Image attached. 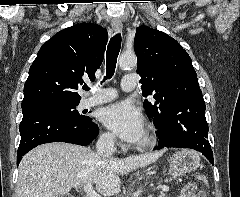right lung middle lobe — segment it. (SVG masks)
Here are the masks:
<instances>
[{"label":"right lung middle lobe","mask_w":240,"mask_h":197,"mask_svg":"<svg viewBox=\"0 0 240 197\" xmlns=\"http://www.w3.org/2000/svg\"><path fill=\"white\" fill-rule=\"evenodd\" d=\"M78 104H79V101H73V102L55 101V102H48L36 107L55 110L60 114H62L63 116H65L66 118L71 119L72 122L74 123L85 124L89 122V117L81 115L76 110V107L78 106Z\"/></svg>","instance_id":"dd1d6c3e"}]
</instances>
